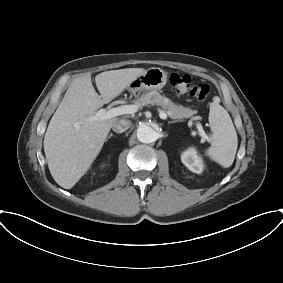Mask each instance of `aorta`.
<instances>
[{
  "label": "aorta",
  "mask_w": 283,
  "mask_h": 283,
  "mask_svg": "<svg viewBox=\"0 0 283 283\" xmlns=\"http://www.w3.org/2000/svg\"><path fill=\"white\" fill-rule=\"evenodd\" d=\"M137 138L142 143H152L158 139V133L150 126L142 124L137 129Z\"/></svg>",
  "instance_id": "obj_1"
}]
</instances>
